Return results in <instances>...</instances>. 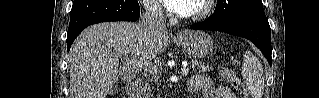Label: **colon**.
Here are the masks:
<instances>
[{"label":"colon","instance_id":"5ec220e1","mask_svg":"<svg viewBox=\"0 0 319 98\" xmlns=\"http://www.w3.org/2000/svg\"><path fill=\"white\" fill-rule=\"evenodd\" d=\"M220 75L231 84L240 94L244 95L247 98V87L244 82L239 80L236 75L228 68L220 67L219 68Z\"/></svg>","mask_w":319,"mask_h":98}]
</instances>
